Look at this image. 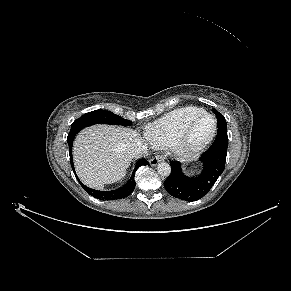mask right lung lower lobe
Returning a JSON list of instances; mask_svg holds the SVG:
<instances>
[{"label": "right lung lower lobe", "instance_id": "right-lung-lower-lobe-1", "mask_svg": "<svg viewBox=\"0 0 291 291\" xmlns=\"http://www.w3.org/2000/svg\"><path fill=\"white\" fill-rule=\"evenodd\" d=\"M82 128H84V127H82L81 125L72 124L70 133L68 134V137H67V142H68V145H69V155H70V161H71L72 168H74L73 159H72L73 140H74L77 132L79 130H81ZM143 165H149V162L146 159H140L137 162V164L135 165V168L133 170V173H132V176H131L130 180L122 188L114 190V191H98V190H94V189H91L89 187H86L78 179L76 173H75V175H76V178L78 179L79 183L81 184V186L84 188V190L88 194H90L93 197H95L97 199H100V200H115V199L125 198V197H127L128 195H130L134 191L135 185H136L135 179H134L135 172L140 166H143Z\"/></svg>", "mask_w": 291, "mask_h": 291}]
</instances>
